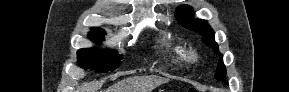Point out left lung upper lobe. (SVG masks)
Wrapping results in <instances>:
<instances>
[{"label":"left lung upper lobe","mask_w":289,"mask_h":92,"mask_svg":"<svg viewBox=\"0 0 289 92\" xmlns=\"http://www.w3.org/2000/svg\"><path fill=\"white\" fill-rule=\"evenodd\" d=\"M194 10L191 6L182 5L176 9V18L179 24L183 27L197 31L203 36L202 40L207 46L212 48L216 54L220 55L219 64L216 68L215 78L220 81H226V69L223 64V56L218 50V45L215 42V33L208 25V22L201 19H194Z\"/></svg>","instance_id":"left-lung-upper-lobe-1"}]
</instances>
